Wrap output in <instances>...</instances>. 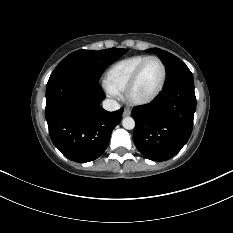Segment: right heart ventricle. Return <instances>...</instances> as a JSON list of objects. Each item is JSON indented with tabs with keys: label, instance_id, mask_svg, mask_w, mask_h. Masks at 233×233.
Wrapping results in <instances>:
<instances>
[{
	"label": "right heart ventricle",
	"instance_id": "right-heart-ventricle-1",
	"mask_svg": "<svg viewBox=\"0 0 233 233\" xmlns=\"http://www.w3.org/2000/svg\"><path fill=\"white\" fill-rule=\"evenodd\" d=\"M148 55H135L113 64L105 75V84L111 90L123 93L132 74Z\"/></svg>",
	"mask_w": 233,
	"mask_h": 233
}]
</instances>
